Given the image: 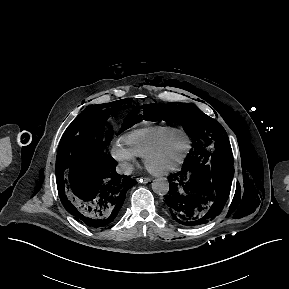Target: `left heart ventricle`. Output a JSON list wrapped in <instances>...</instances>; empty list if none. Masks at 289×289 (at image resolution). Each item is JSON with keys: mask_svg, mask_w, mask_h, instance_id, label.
Segmentation results:
<instances>
[{"mask_svg": "<svg viewBox=\"0 0 289 289\" xmlns=\"http://www.w3.org/2000/svg\"><path fill=\"white\" fill-rule=\"evenodd\" d=\"M185 145L186 143L183 137L174 138L153 158L152 165L155 168H163L172 164L182 155Z\"/></svg>", "mask_w": 289, "mask_h": 289, "instance_id": "left-heart-ventricle-1", "label": "left heart ventricle"}]
</instances>
